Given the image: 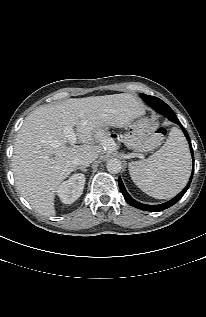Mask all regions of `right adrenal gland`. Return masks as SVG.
<instances>
[{
	"mask_svg": "<svg viewBox=\"0 0 206 317\" xmlns=\"http://www.w3.org/2000/svg\"><path fill=\"white\" fill-rule=\"evenodd\" d=\"M87 167H89V165L80 166V167L76 168V170L80 169L81 171L86 172L87 171V169H86Z\"/></svg>",
	"mask_w": 206,
	"mask_h": 317,
	"instance_id": "2a0ac1e0",
	"label": "right adrenal gland"
}]
</instances>
